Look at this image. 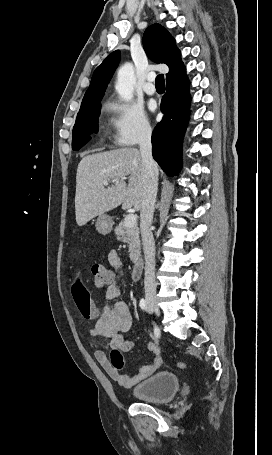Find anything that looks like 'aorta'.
Returning a JSON list of instances; mask_svg holds the SVG:
<instances>
[{"label":"aorta","instance_id":"1","mask_svg":"<svg viewBox=\"0 0 272 455\" xmlns=\"http://www.w3.org/2000/svg\"><path fill=\"white\" fill-rule=\"evenodd\" d=\"M135 82L136 77L133 65L125 63L118 70L115 84V89L123 100L130 101L133 98Z\"/></svg>","mask_w":272,"mask_h":455}]
</instances>
